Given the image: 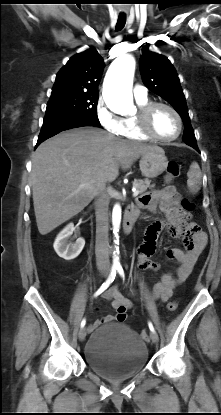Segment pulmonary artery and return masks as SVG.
Masks as SVG:
<instances>
[{"instance_id":"pulmonary-artery-1","label":"pulmonary artery","mask_w":221,"mask_h":415,"mask_svg":"<svg viewBox=\"0 0 221 415\" xmlns=\"http://www.w3.org/2000/svg\"><path fill=\"white\" fill-rule=\"evenodd\" d=\"M133 93L136 99L147 98V89L142 85L136 84L134 86Z\"/></svg>"}]
</instances>
